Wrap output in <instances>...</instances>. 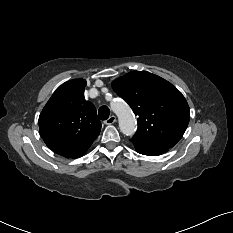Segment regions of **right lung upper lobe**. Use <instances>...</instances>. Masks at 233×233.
<instances>
[{
  "mask_svg": "<svg viewBox=\"0 0 233 233\" xmlns=\"http://www.w3.org/2000/svg\"><path fill=\"white\" fill-rule=\"evenodd\" d=\"M86 81L63 83L53 93L39 116V131L52 151L89 147L100 133L94 105L84 98Z\"/></svg>",
  "mask_w": 233,
  "mask_h": 233,
  "instance_id": "right-lung-upper-lobe-1",
  "label": "right lung upper lobe"
}]
</instances>
